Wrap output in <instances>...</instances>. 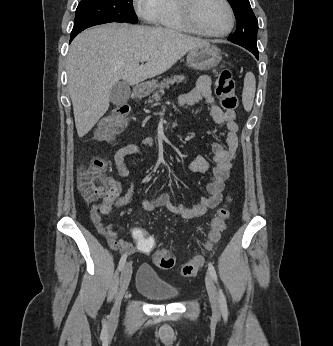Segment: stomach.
<instances>
[{"label": "stomach", "mask_w": 333, "mask_h": 346, "mask_svg": "<svg viewBox=\"0 0 333 346\" xmlns=\"http://www.w3.org/2000/svg\"><path fill=\"white\" fill-rule=\"evenodd\" d=\"M222 59L221 51L218 47L206 44L189 51L187 55L188 65L195 70H209L216 67ZM157 87V81L144 82L135 89L139 97L148 96Z\"/></svg>", "instance_id": "1"}]
</instances>
